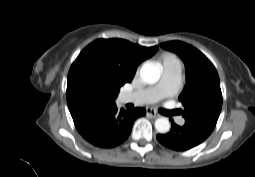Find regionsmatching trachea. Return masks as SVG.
I'll list each match as a JSON object with an SVG mask.
<instances>
[{
	"label": "trachea",
	"mask_w": 255,
	"mask_h": 177,
	"mask_svg": "<svg viewBox=\"0 0 255 177\" xmlns=\"http://www.w3.org/2000/svg\"><path fill=\"white\" fill-rule=\"evenodd\" d=\"M167 115H173V114H178L179 111L178 110H173V111H166L165 112Z\"/></svg>",
	"instance_id": "obj_1"
}]
</instances>
